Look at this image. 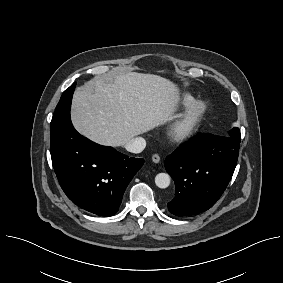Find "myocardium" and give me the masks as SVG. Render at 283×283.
<instances>
[{
    "mask_svg": "<svg viewBox=\"0 0 283 283\" xmlns=\"http://www.w3.org/2000/svg\"><path fill=\"white\" fill-rule=\"evenodd\" d=\"M208 111L205 101L192 102L170 128L172 141L182 143L190 140L201 128Z\"/></svg>",
    "mask_w": 283,
    "mask_h": 283,
    "instance_id": "1",
    "label": "myocardium"
}]
</instances>
